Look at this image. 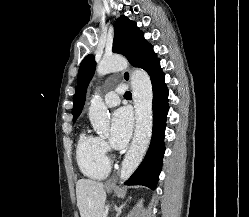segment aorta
Returning a JSON list of instances; mask_svg holds the SVG:
<instances>
[{
    "mask_svg": "<svg viewBox=\"0 0 249 217\" xmlns=\"http://www.w3.org/2000/svg\"><path fill=\"white\" fill-rule=\"evenodd\" d=\"M128 66L120 56L104 57L97 66L98 76L121 71ZM132 94L135 108V132L130 148L122 163L120 179L126 181L141 163L152 134V83L149 75L134 69L131 75ZM91 125L97 133H105L109 128L108 110L102 98L95 95L89 108Z\"/></svg>",
    "mask_w": 249,
    "mask_h": 217,
    "instance_id": "aorta-1",
    "label": "aorta"
}]
</instances>
